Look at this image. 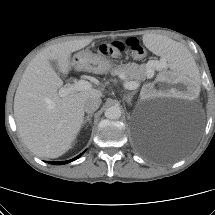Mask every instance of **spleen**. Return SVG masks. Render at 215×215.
<instances>
[{"label": "spleen", "instance_id": "1", "mask_svg": "<svg viewBox=\"0 0 215 215\" xmlns=\"http://www.w3.org/2000/svg\"><path fill=\"white\" fill-rule=\"evenodd\" d=\"M144 43L148 48L165 57L166 63L171 65L173 72H178L186 81L195 79L198 74L197 61L189 50L181 48L169 39L153 34L146 35Z\"/></svg>", "mask_w": 215, "mask_h": 215}]
</instances>
